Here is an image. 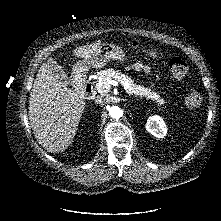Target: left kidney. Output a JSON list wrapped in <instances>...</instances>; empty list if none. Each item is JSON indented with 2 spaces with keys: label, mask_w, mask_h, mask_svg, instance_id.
Wrapping results in <instances>:
<instances>
[{
  "label": "left kidney",
  "mask_w": 221,
  "mask_h": 221,
  "mask_svg": "<svg viewBox=\"0 0 221 221\" xmlns=\"http://www.w3.org/2000/svg\"><path fill=\"white\" fill-rule=\"evenodd\" d=\"M146 130L157 138H163L167 133L166 125L163 119L158 115H154L148 118L146 123Z\"/></svg>",
  "instance_id": "left-kidney-1"
}]
</instances>
